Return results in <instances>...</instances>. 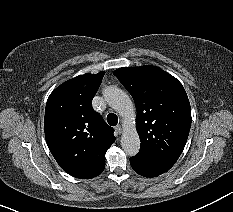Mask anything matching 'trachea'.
I'll use <instances>...</instances> for the list:
<instances>
[{
  "label": "trachea",
  "mask_w": 233,
  "mask_h": 212,
  "mask_svg": "<svg viewBox=\"0 0 233 212\" xmlns=\"http://www.w3.org/2000/svg\"><path fill=\"white\" fill-rule=\"evenodd\" d=\"M107 122L111 126H115L118 123V117L114 113H110L107 115Z\"/></svg>",
  "instance_id": "trachea-1"
}]
</instances>
